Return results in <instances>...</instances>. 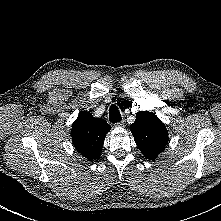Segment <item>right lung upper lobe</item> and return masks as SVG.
<instances>
[{
  "label": "right lung upper lobe",
  "mask_w": 221,
  "mask_h": 221,
  "mask_svg": "<svg viewBox=\"0 0 221 221\" xmlns=\"http://www.w3.org/2000/svg\"><path fill=\"white\" fill-rule=\"evenodd\" d=\"M110 125L102 118H95L89 112H82L72 125L71 137L76 150L87 160L100 156Z\"/></svg>",
  "instance_id": "1"
}]
</instances>
